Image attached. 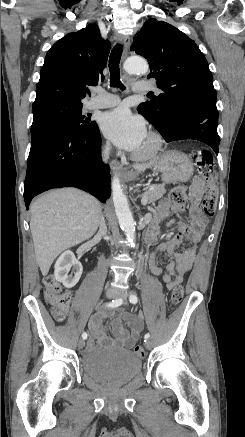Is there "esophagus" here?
I'll return each instance as SVG.
<instances>
[{
    "label": "esophagus",
    "instance_id": "34e87169",
    "mask_svg": "<svg viewBox=\"0 0 245 437\" xmlns=\"http://www.w3.org/2000/svg\"><path fill=\"white\" fill-rule=\"evenodd\" d=\"M116 40L121 43L124 47V51H123V59L126 58L127 56V52H128V47H129V38L125 35H121V34H117L116 35ZM110 168L113 172H121L122 171V167L120 165V163L117 160H112L110 163Z\"/></svg>",
    "mask_w": 245,
    "mask_h": 437
}]
</instances>
